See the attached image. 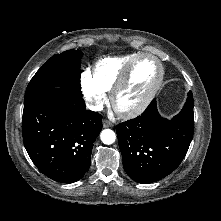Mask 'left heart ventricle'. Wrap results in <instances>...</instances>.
Returning a JSON list of instances; mask_svg holds the SVG:
<instances>
[{
    "label": "left heart ventricle",
    "mask_w": 221,
    "mask_h": 221,
    "mask_svg": "<svg viewBox=\"0 0 221 221\" xmlns=\"http://www.w3.org/2000/svg\"><path fill=\"white\" fill-rule=\"evenodd\" d=\"M158 75L159 67L153 59H141L135 65L127 86L118 96V106L127 109L138 105L152 89Z\"/></svg>",
    "instance_id": "b2bd125f"
}]
</instances>
